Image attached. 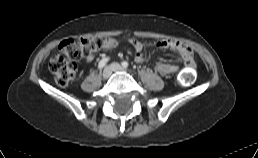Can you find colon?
I'll return each mask as SVG.
<instances>
[{"label": "colon", "instance_id": "1", "mask_svg": "<svg viewBox=\"0 0 258 158\" xmlns=\"http://www.w3.org/2000/svg\"><path fill=\"white\" fill-rule=\"evenodd\" d=\"M101 38H68L60 43L51 57L49 69L59 85L66 86L76 77V61L93 51L103 48ZM195 76L192 68H187L179 76L181 85H189Z\"/></svg>", "mask_w": 258, "mask_h": 158}]
</instances>
